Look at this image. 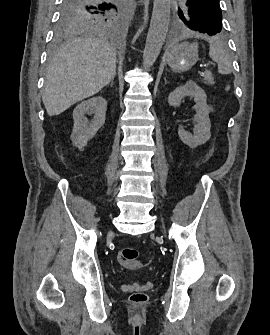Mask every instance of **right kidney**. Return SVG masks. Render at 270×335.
Listing matches in <instances>:
<instances>
[{"label": "right kidney", "instance_id": "ca27d5eb", "mask_svg": "<svg viewBox=\"0 0 270 335\" xmlns=\"http://www.w3.org/2000/svg\"><path fill=\"white\" fill-rule=\"evenodd\" d=\"M107 102L101 96L90 98L86 102L78 104L73 112L74 126L71 134V142L82 150L87 146L88 140H91L98 132L101 126H104L106 120ZM85 114H95L91 124H89Z\"/></svg>", "mask_w": 270, "mask_h": 335}]
</instances>
